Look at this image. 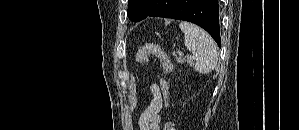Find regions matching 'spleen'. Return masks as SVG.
<instances>
[{"label":"spleen","instance_id":"obj_1","mask_svg":"<svg viewBox=\"0 0 299 130\" xmlns=\"http://www.w3.org/2000/svg\"><path fill=\"white\" fill-rule=\"evenodd\" d=\"M185 36V46L193 54L194 69L200 74H208L216 68L217 46L212 37L200 27L189 22L179 24Z\"/></svg>","mask_w":299,"mask_h":130}]
</instances>
